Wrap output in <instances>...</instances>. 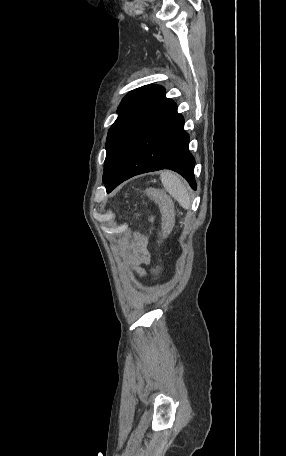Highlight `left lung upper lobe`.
<instances>
[{"label": "left lung upper lobe", "mask_w": 286, "mask_h": 456, "mask_svg": "<svg viewBox=\"0 0 286 456\" xmlns=\"http://www.w3.org/2000/svg\"><path fill=\"white\" fill-rule=\"evenodd\" d=\"M172 103L159 85L137 88L123 98L117 110L118 118L110 127L106 140L103 174L106 189L137 136Z\"/></svg>", "instance_id": "obj_1"}]
</instances>
